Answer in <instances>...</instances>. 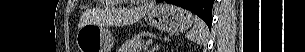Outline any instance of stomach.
Wrapping results in <instances>:
<instances>
[{
    "mask_svg": "<svg viewBox=\"0 0 305 52\" xmlns=\"http://www.w3.org/2000/svg\"><path fill=\"white\" fill-rule=\"evenodd\" d=\"M150 24L162 32L178 33L192 26L194 17L190 11L174 5L160 3L149 13ZM80 52H109L114 41L111 32L100 24L89 23L76 35Z\"/></svg>",
    "mask_w": 305,
    "mask_h": 52,
    "instance_id": "1",
    "label": "stomach"
}]
</instances>
